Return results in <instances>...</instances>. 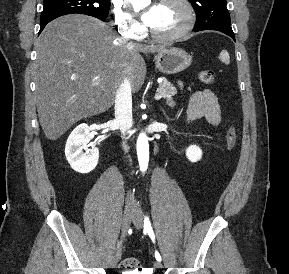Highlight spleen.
Listing matches in <instances>:
<instances>
[{
	"label": "spleen",
	"instance_id": "3e777b00",
	"mask_svg": "<svg viewBox=\"0 0 289 274\" xmlns=\"http://www.w3.org/2000/svg\"><path fill=\"white\" fill-rule=\"evenodd\" d=\"M220 59L222 62H224L225 64H229L230 63V57L227 51H222L220 54Z\"/></svg>",
	"mask_w": 289,
	"mask_h": 274
}]
</instances>
